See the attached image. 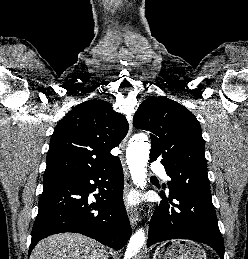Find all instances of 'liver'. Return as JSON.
Returning <instances> with one entry per match:
<instances>
[{
	"mask_svg": "<svg viewBox=\"0 0 248 259\" xmlns=\"http://www.w3.org/2000/svg\"><path fill=\"white\" fill-rule=\"evenodd\" d=\"M108 250L99 242L76 233H61L41 240L30 259H108Z\"/></svg>",
	"mask_w": 248,
	"mask_h": 259,
	"instance_id": "obj_1",
	"label": "liver"
}]
</instances>
